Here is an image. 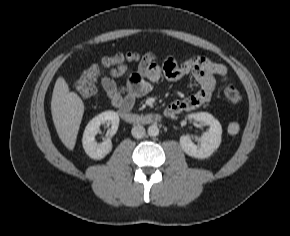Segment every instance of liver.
Instances as JSON below:
<instances>
[{"label":"liver","mask_w":290,"mask_h":236,"mask_svg":"<svg viewBox=\"0 0 290 236\" xmlns=\"http://www.w3.org/2000/svg\"><path fill=\"white\" fill-rule=\"evenodd\" d=\"M51 113L57 134L69 149L75 147L79 127L84 113V103L63 77H58L53 89Z\"/></svg>","instance_id":"6515ba94"}]
</instances>
